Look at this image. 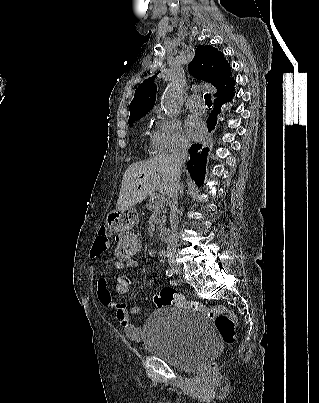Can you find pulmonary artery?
<instances>
[{"label":"pulmonary artery","instance_id":"1","mask_svg":"<svg viewBox=\"0 0 319 403\" xmlns=\"http://www.w3.org/2000/svg\"><path fill=\"white\" fill-rule=\"evenodd\" d=\"M187 107L196 112L205 110V103L199 95H192L187 101Z\"/></svg>","mask_w":319,"mask_h":403}]
</instances>
